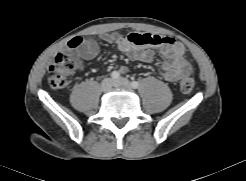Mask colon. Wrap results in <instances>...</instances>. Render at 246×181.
Listing matches in <instances>:
<instances>
[{
    "instance_id": "colon-1",
    "label": "colon",
    "mask_w": 246,
    "mask_h": 181,
    "mask_svg": "<svg viewBox=\"0 0 246 181\" xmlns=\"http://www.w3.org/2000/svg\"><path fill=\"white\" fill-rule=\"evenodd\" d=\"M162 38L157 35L144 34L139 37V43L144 45H158L162 42ZM82 43L80 37L71 40L70 46L77 47ZM75 62L68 56L57 54L48 69L47 81L53 88H64L69 83V78L75 69ZM180 90L183 93H190L194 88V80L190 77H182L179 82Z\"/></svg>"
}]
</instances>
